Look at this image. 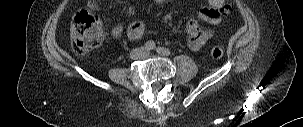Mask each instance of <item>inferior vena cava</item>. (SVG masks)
I'll use <instances>...</instances> for the list:
<instances>
[{"label": "inferior vena cava", "instance_id": "1", "mask_svg": "<svg viewBox=\"0 0 303 127\" xmlns=\"http://www.w3.org/2000/svg\"><path fill=\"white\" fill-rule=\"evenodd\" d=\"M130 57L132 59H140L144 57V53H142L141 49L136 48L130 52Z\"/></svg>", "mask_w": 303, "mask_h": 127}]
</instances>
